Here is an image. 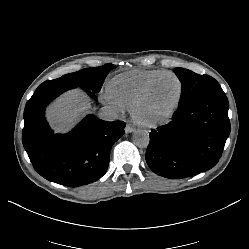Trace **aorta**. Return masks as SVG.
<instances>
[{
	"instance_id": "aorta-1",
	"label": "aorta",
	"mask_w": 249,
	"mask_h": 249,
	"mask_svg": "<svg viewBox=\"0 0 249 249\" xmlns=\"http://www.w3.org/2000/svg\"><path fill=\"white\" fill-rule=\"evenodd\" d=\"M149 140V134L146 131L137 130L133 133V143L139 148H146Z\"/></svg>"
}]
</instances>
